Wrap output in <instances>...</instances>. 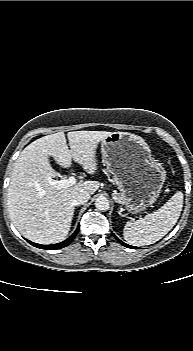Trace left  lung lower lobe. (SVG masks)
Segmentation results:
<instances>
[{
    "mask_svg": "<svg viewBox=\"0 0 193 351\" xmlns=\"http://www.w3.org/2000/svg\"><path fill=\"white\" fill-rule=\"evenodd\" d=\"M114 237L117 239V241H119V243H121V244H122L123 246H125V247H128V248H137V247H134V246L125 244L124 242H122L121 240H119L116 236H114Z\"/></svg>",
    "mask_w": 193,
    "mask_h": 351,
    "instance_id": "0a47b994",
    "label": "left lung lower lobe"
}]
</instances>
